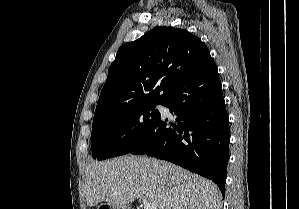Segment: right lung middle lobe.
I'll list each match as a JSON object with an SVG mask.
<instances>
[{
    "instance_id": "1",
    "label": "right lung middle lobe",
    "mask_w": 299,
    "mask_h": 209,
    "mask_svg": "<svg viewBox=\"0 0 299 209\" xmlns=\"http://www.w3.org/2000/svg\"><path fill=\"white\" fill-rule=\"evenodd\" d=\"M158 104L163 102L121 106L95 115L91 134L93 158L104 160L127 154L161 118L155 110Z\"/></svg>"
}]
</instances>
